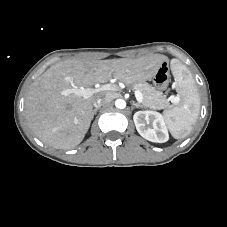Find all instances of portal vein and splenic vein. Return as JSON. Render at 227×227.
<instances>
[{
  "mask_svg": "<svg viewBox=\"0 0 227 227\" xmlns=\"http://www.w3.org/2000/svg\"><path fill=\"white\" fill-rule=\"evenodd\" d=\"M116 86L113 85V84H105L99 88H84V87H80V88H77V87H73L72 89L70 90H67L65 92V94H70V93H75L79 96H82L84 99H87L89 97H91L92 95H94L95 93L97 92H101V91H108V90H116ZM134 94H135V97H136V100L139 102V103H142L143 102V96H142V93L138 90L135 89L134 91ZM178 101V99L175 97V98H172V102H176Z\"/></svg>",
  "mask_w": 227,
  "mask_h": 227,
  "instance_id": "portal-vein-and-splenic-vein-1",
  "label": "portal vein and splenic vein"
}]
</instances>
